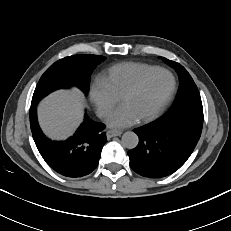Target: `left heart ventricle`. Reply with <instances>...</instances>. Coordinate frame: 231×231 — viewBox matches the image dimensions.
I'll use <instances>...</instances> for the list:
<instances>
[{"label": "left heart ventricle", "mask_w": 231, "mask_h": 231, "mask_svg": "<svg viewBox=\"0 0 231 231\" xmlns=\"http://www.w3.org/2000/svg\"><path fill=\"white\" fill-rule=\"evenodd\" d=\"M171 88V76L168 73L159 72L123 103L129 106L139 119L153 113L167 97Z\"/></svg>", "instance_id": "1"}]
</instances>
